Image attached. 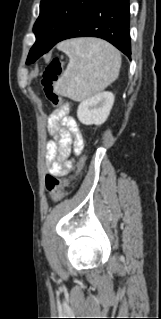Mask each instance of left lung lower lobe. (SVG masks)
Listing matches in <instances>:
<instances>
[{"label": "left lung lower lobe", "instance_id": "left-lung-lower-lobe-1", "mask_svg": "<svg viewBox=\"0 0 161 319\" xmlns=\"http://www.w3.org/2000/svg\"><path fill=\"white\" fill-rule=\"evenodd\" d=\"M129 0H97L63 35L60 41L75 37L102 38L131 58ZM59 41V42H60ZM28 55L27 64L30 61Z\"/></svg>", "mask_w": 161, "mask_h": 319}]
</instances>
